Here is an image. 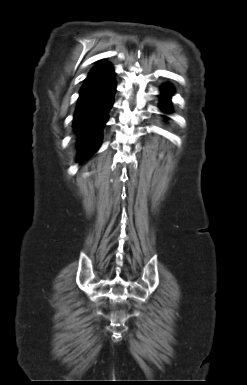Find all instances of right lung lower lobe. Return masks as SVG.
I'll return each instance as SVG.
<instances>
[{"label": "right lung lower lobe", "instance_id": "98d812e1", "mask_svg": "<svg viewBox=\"0 0 247 385\" xmlns=\"http://www.w3.org/2000/svg\"><path fill=\"white\" fill-rule=\"evenodd\" d=\"M115 88L114 71L109 63L96 66L85 79L73 122L79 149L78 160L87 158L99 148Z\"/></svg>", "mask_w": 247, "mask_h": 385}]
</instances>
